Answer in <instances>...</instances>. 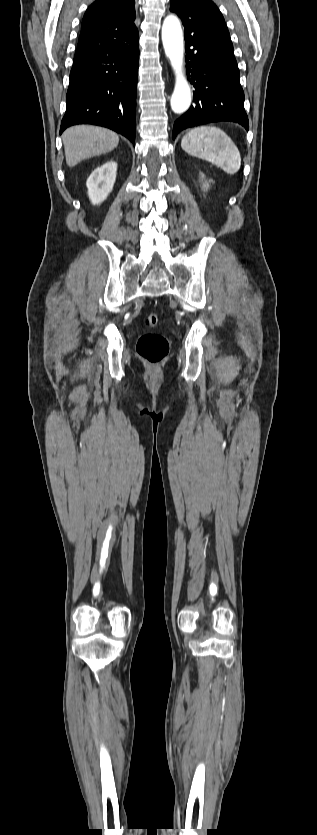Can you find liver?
<instances>
[{
	"mask_svg": "<svg viewBox=\"0 0 317 835\" xmlns=\"http://www.w3.org/2000/svg\"><path fill=\"white\" fill-rule=\"evenodd\" d=\"M66 163L74 167L80 161L114 150L119 136L106 128L78 125L62 134Z\"/></svg>",
	"mask_w": 317,
	"mask_h": 835,
	"instance_id": "1",
	"label": "liver"
}]
</instances>
